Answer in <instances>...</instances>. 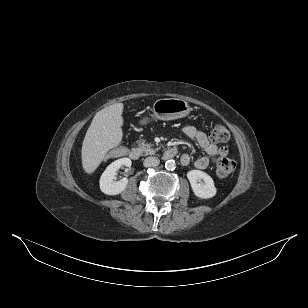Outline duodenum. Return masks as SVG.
Wrapping results in <instances>:
<instances>
[{
	"label": "duodenum",
	"mask_w": 308,
	"mask_h": 308,
	"mask_svg": "<svg viewBox=\"0 0 308 308\" xmlns=\"http://www.w3.org/2000/svg\"><path fill=\"white\" fill-rule=\"evenodd\" d=\"M176 154H177L176 148H169L164 151L163 157L164 159H172L176 156ZM141 156H142V151L139 148H133L129 153L130 159L134 161L139 160Z\"/></svg>",
	"instance_id": "1"
}]
</instances>
